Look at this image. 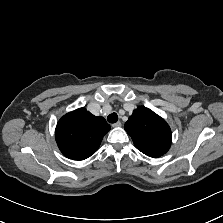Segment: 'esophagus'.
<instances>
[{
    "label": "esophagus",
    "mask_w": 223,
    "mask_h": 223,
    "mask_svg": "<svg viewBox=\"0 0 223 223\" xmlns=\"http://www.w3.org/2000/svg\"><path fill=\"white\" fill-rule=\"evenodd\" d=\"M122 124L120 121L116 122V123H113L112 124V127H120Z\"/></svg>",
    "instance_id": "1"
}]
</instances>
